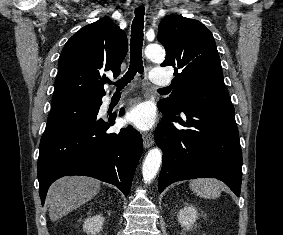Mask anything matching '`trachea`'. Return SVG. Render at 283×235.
<instances>
[{
	"label": "trachea",
	"mask_w": 283,
	"mask_h": 235,
	"mask_svg": "<svg viewBox=\"0 0 283 235\" xmlns=\"http://www.w3.org/2000/svg\"><path fill=\"white\" fill-rule=\"evenodd\" d=\"M144 14V7H138L135 9V17L131 28L130 66L123 78L114 83L117 90L123 89L129 82H131L137 72L140 74H143L144 72L142 62ZM108 83L111 84V81ZM162 90H166V88H161L160 91Z\"/></svg>",
	"instance_id": "obj_1"
}]
</instances>
